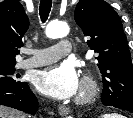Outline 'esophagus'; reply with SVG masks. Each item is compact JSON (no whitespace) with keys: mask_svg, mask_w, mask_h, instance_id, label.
I'll list each match as a JSON object with an SVG mask.
<instances>
[{"mask_svg":"<svg viewBox=\"0 0 133 118\" xmlns=\"http://www.w3.org/2000/svg\"><path fill=\"white\" fill-rule=\"evenodd\" d=\"M58 112L61 116H65L70 112V109L67 106L61 105L58 108Z\"/></svg>","mask_w":133,"mask_h":118,"instance_id":"esophagus-1","label":"esophagus"}]
</instances>
